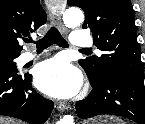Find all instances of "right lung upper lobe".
<instances>
[{
    "mask_svg": "<svg viewBox=\"0 0 145 124\" xmlns=\"http://www.w3.org/2000/svg\"><path fill=\"white\" fill-rule=\"evenodd\" d=\"M46 19L39 0H0V52L20 55L19 39L37 30Z\"/></svg>",
    "mask_w": 145,
    "mask_h": 124,
    "instance_id": "right-lung-upper-lobe-1",
    "label": "right lung upper lobe"
}]
</instances>
